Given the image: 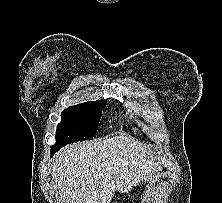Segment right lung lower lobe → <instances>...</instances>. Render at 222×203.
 Listing matches in <instances>:
<instances>
[{
  "label": "right lung lower lobe",
  "instance_id": "98d812e1",
  "mask_svg": "<svg viewBox=\"0 0 222 203\" xmlns=\"http://www.w3.org/2000/svg\"><path fill=\"white\" fill-rule=\"evenodd\" d=\"M60 148L59 147H54V146H51V155H53L56 151H58Z\"/></svg>",
  "mask_w": 222,
  "mask_h": 203
}]
</instances>
